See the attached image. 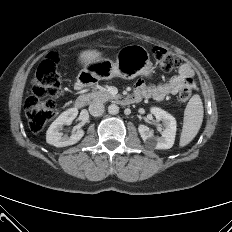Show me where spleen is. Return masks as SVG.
<instances>
[{"instance_id":"1","label":"spleen","mask_w":232,"mask_h":232,"mask_svg":"<svg viewBox=\"0 0 232 232\" xmlns=\"http://www.w3.org/2000/svg\"><path fill=\"white\" fill-rule=\"evenodd\" d=\"M203 104L199 95H193L189 100L183 119V128L180 136V147L189 144L197 135L203 121Z\"/></svg>"}]
</instances>
